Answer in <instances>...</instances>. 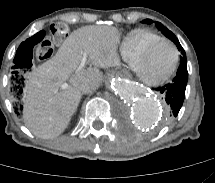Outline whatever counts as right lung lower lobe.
I'll use <instances>...</instances> for the list:
<instances>
[{"mask_svg": "<svg viewBox=\"0 0 215 183\" xmlns=\"http://www.w3.org/2000/svg\"><path fill=\"white\" fill-rule=\"evenodd\" d=\"M22 93L21 84H17V86L13 89V94L18 98Z\"/></svg>", "mask_w": 215, "mask_h": 183, "instance_id": "right-lung-lower-lobe-1", "label": "right lung lower lobe"}]
</instances>
